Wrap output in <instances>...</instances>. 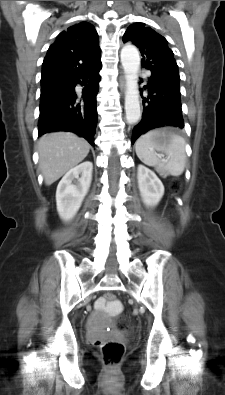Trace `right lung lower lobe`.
Segmentation results:
<instances>
[{"mask_svg":"<svg viewBox=\"0 0 225 395\" xmlns=\"http://www.w3.org/2000/svg\"><path fill=\"white\" fill-rule=\"evenodd\" d=\"M102 63L92 68L60 78L41 88L39 136L53 131H68L84 137L92 146L97 125L96 95ZM87 89L77 95L75 86ZM84 103H83V102Z\"/></svg>","mask_w":225,"mask_h":395,"instance_id":"right-lung-lower-lobe-1","label":"right lung lower lobe"}]
</instances>
